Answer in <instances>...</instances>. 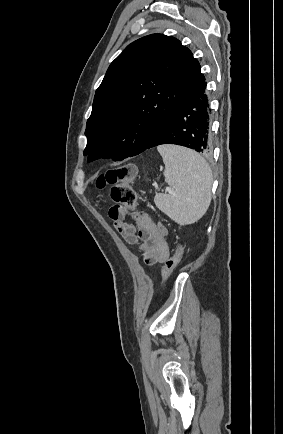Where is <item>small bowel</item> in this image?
<instances>
[{
	"label": "small bowel",
	"instance_id": "1",
	"mask_svg": "<svg viewBox=\"0 0 283 434\" xmlns=\"http://www.w3.org/2000/svg\"><path fill=\"white\" fill-rule=\"evenodd\" d=\"M128 212L122 206H113L109 217L116 230L129 244L138 245L147 265L164 263L169 258L168 232L161 223L143 213L134 225L125 220Z\"/></svg>",
	"mask_w": 283,
	"mask_h": 434
}]
</instances>
